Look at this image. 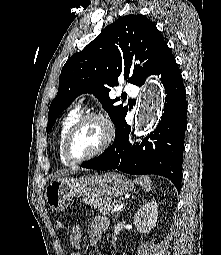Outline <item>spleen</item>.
Wrapping results in <instances>:
<instances>
[{"label":"spleen","mask_w":221,"mask_h":255,"mask_svg":"<svg viewBox=\"0 0 221 255\" xmlns=\"http://www.w3.org/2000/svg\"><path fill=\"white\" fill-rule=\"evenodd\" d=\"M135 183L140 185L145 191L151 190V180L149 176H140L135 179Z\"/></svg>","instance_id":"spleen-1"}]
</instances>
